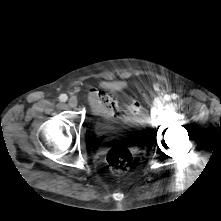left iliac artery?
<instances>
[{
	"mask_svg": "<svg viewBox=\"0 0 221 221\" xmlns=\"http://www.w3.org/2000/svg\"><path fill=\"white\" fill-rule=\"evenodd\" d=\"M177 98H178V96H177V94H175V93H173L171 96L168 95V94H166V95L164 96V99H165L166 101H169V100H171V99L175 100V99H177Z\"/></svg>",
	"mask_w": 221,
	"mask_h": 221,
	"instance_id": "obj_1",
	"label": "left iliac artery"
}]
</instances>
